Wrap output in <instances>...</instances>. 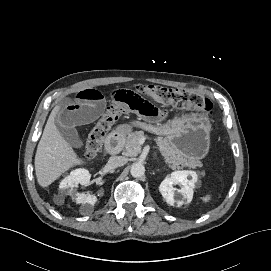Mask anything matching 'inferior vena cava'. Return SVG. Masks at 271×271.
Returning a JSON list of instances; mask_svg holds the SVG:
<instances>
[{"mask_svg":"<svg viewBox=\"0 0 271 271\" xmlns=\"http://www.w3.org/2000/svg\"><path fill=\"white\" fill-rule=\"evenodd\" d=\"M127 161H128V159L126 157H123V156H112L108 160V165L111 168H117V167H120V166H123L124 164H126Z\"/></svg>","mask_w":271,"mask_h":271,"instance_id":"obj_1","label":"inferior vena cava"}]
</instances>
